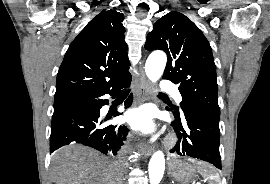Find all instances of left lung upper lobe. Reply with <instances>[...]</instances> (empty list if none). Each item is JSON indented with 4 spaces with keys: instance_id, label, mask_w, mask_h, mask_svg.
I'll return each mask as SVG.
<instances>
[{
    "instance_id": "5c2ea615",
    "label": "left lung upper lobe",
    "mask_w": 270,
    "mask_h": 184,
    "mask_svg": "<svg viewBox=\"0 0 270 184\" xmlns=\"http://www.w3.org/2000/svg\"><path fill=\"white\" fill-rule=\"evenodd\" d=\"M145 49H159L167 54L163 79L179 84L183 113L195 110L219 120L218 86L212 49L192 21L179 12L164 15L148 34ZM172 110L180 117L178 107Z\"/></svg>"
}]
</instances>
